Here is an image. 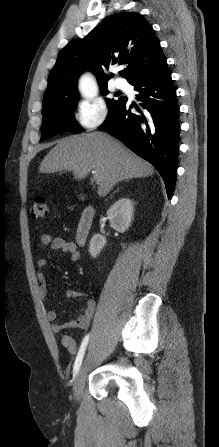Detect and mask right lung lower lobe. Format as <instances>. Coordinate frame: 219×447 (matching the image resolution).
Masks as SVG:
<instances>
[{
    "label": "right lung lower lobe",
    "mask_w": 219,
    "mask_h": 447,
    "mask_svg": "<svg viewBox=\"0 0 219 447\" xmlns=\"http://www.w3.org/2000/svg\"><path fill=\"white\" fill-rule=\"evenodd\" d=\"M139 108L124 99L109 111L99 127L150 162L162 176L168 198L176 181L179 149V106L171 72L165 62L155 73L134 84ZM135 107L138 113H132Z\"/></svg>",
    "instance_id": "98d812e1"
}]
</instances>
